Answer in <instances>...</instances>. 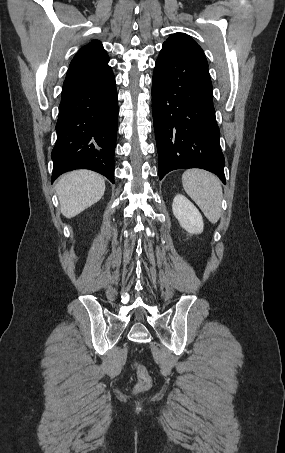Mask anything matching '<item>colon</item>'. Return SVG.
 <instances>
[{"label": "colon", "mask_w": 285, "mask_h": 453, "mask_svg": "<svg viewBox=\"0 0 285 453\" xmlns=\"http://www.w3.org/2000/svg\"><path fill=\"white\" fill-rule=\"evenodd\" d=\"M134 368L137 374V383L135 385V390L137 392L147 390L152 383L148 370L144 365L140 363H135Z\"/></svg>", "instance_id": "obj_1"}]
</instances>
